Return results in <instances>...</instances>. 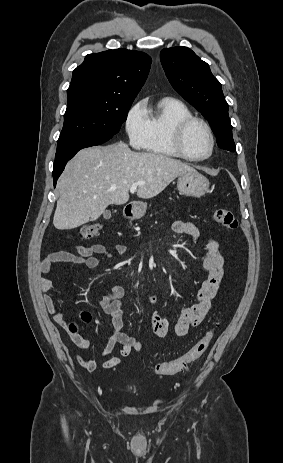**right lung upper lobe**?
<instances>
[{
	"label": "right lung upper lobe",
	"instance_id": "obj_1",
	"mask_svg": "<svg viewBox=\"0 0 283 463\" xmlns=\"http://www.w3.org/2000/svg\"><path fill=\"white\" fill-rule=\"evenodd\" d=\"M151 61L147 54L127 49L88 54L73 71L67 94L87 92L135 99L147 78Z\"/></svg>",
	"mask_w": 283,
	"mask_h": 463
}]
</instances>
